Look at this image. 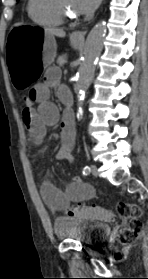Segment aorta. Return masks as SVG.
<instances>
[{"instance_id": "obj_1", "label": "aorta", "mask_w": 148, "mask_h": 279, "mask_svg": "<svg viewBox=\"0 0 148 279\" xmlns=\"http://www.w3.org/2000/svg\"><path fill=\"white\" fill-rule=\"evenodd\" d=\"M107 27L105 21L97 23L87 36L83 58L77 72L76 94L78 102V116L82 115L83 100L89 81L94 75L95 65L103 48Z\"/></svg>"}]
</instances>
